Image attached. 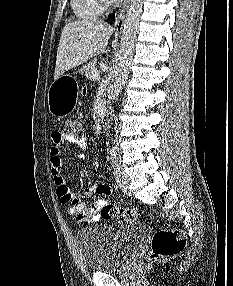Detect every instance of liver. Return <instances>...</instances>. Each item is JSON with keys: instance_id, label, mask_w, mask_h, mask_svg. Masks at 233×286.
I'll use <instances>...</instances> for the list:
<instances>
[{"instance_id": "obj_1", "label": "liver", "mask_w": 233, "mask_h": 286, "mask_svg": "<svg viewBox=\"0 0 233 286\" xmlns=\"http://www.w3.org/2000/svg\"><path fill=\"white\" fill-rule=\"evenodd\" d=\"M113 33V27L103 21L79 20L67 23L59 41L54 79L65 71L101 54Z\"/></svg>"}]
</instances>
